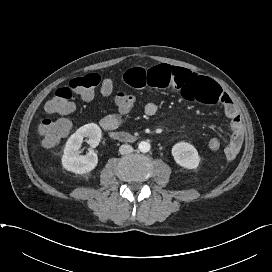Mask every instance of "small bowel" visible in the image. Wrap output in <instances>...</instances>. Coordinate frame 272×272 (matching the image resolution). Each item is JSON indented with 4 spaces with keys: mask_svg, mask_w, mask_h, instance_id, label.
I'll use <instances>...</instances> for the list:
<instances>
[{
    "mask_svg": "<svg viewBox=\"0 0 272 272\" xmlns=\"http://www.w3.org/2000/svg\"><path fill=\"white\" fill-rule=\"evenodd\" d=\"M124 79L132 88H176L185 100L205 104L219 103L230 120L232 131L229 142L224 147V154L228 160L235 159L239 154L245 126L237 106L216 82L190 70L166 64H159L148 69H130L124 74ZM144 112L148 116L155 115L157 106L153 102H148L144 105ZM122 114L118 112L105 115L100 120L101 127L108 131L115 130L121 123Z\"/></svg>",
    "mask_w": 272,
    "mask_h": 272,
    "instance_id": "c3829d8e",
    "label": "small bowel"
}]
</instances>
